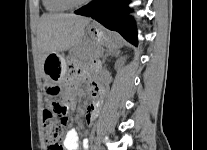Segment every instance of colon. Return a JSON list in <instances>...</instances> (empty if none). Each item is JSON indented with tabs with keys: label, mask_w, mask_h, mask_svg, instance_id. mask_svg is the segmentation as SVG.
<instances>
[{
	"label": "colon",
	"mask_w": 207,
	"mask_h": 150,
	"mask_svg": "<svg viewBox=\"0 0 207 150\" xmlns=\"http://www.w3.org/2000/svg\"><path fill=\"white\" fill-rule=\"evenodd\" d=\"M67 113V107L59 102L52 101L46 106L43 119L47 150H64L62 136Z\"/></svg>",
	"instance_id": "5ec220e1"
}]
</instances>
